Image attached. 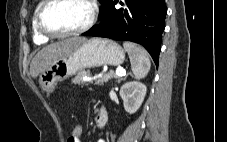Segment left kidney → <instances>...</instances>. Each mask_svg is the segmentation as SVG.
<instances>
[{
  "instance_id": "left-kidney-1",
  "label": "left kidney",
  "mask_w": 227,
  "mask_h": 142,
  "mask_svg": "<svg viewBox=\"0 0 227 142\" xmlns=\"http://www.w3.org/2000/svg\"><path fill=\"white\" fill-rule=\"evenodd\" d=\"M146 86L137 81L127 82L120 88V96L124 103V109L129 113H135L143 103L146 95Z\"/></svg>"
}]
</instances>
